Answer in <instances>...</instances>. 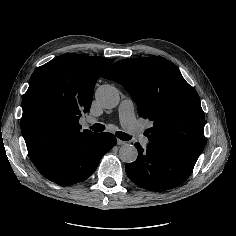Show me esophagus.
I'll list each match as a JSON object with an SVG mask.
<instances>
[{"mask_svg": "<svg viewBox=\"0 0 236 236\" xmlns=\"http://www.w3.org/2000/svg\"><path fill=\"white\" fill-rule=\"evenodd\" d=\"M117 144H118V145H124V144H125V142H124V141H122L121 139H117Z\"/></svg>", "mask_w": 236, "mask_h": 236, "instance_id": "obj_1", "label": "esophagus"}]
</instances>
